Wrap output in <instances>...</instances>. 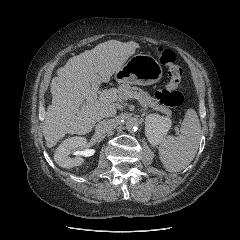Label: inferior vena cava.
<instances>
[{"mask_svg": "<svg viewBox=\"0 0 240 240\" xmlns=\"http://www.w3.org/2000/svg\"><path fill=\"white\" fill-rule=\"evenodd\" d=\"M115 121L113 119H106L97 123L95 131L97 134H105L113 129Z\"/></svg>", "mask_w": 240, "mask_h": 240, "instance_id": "obj_1", "label": "inferior vena cava"}]
</instances>
